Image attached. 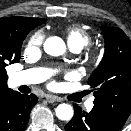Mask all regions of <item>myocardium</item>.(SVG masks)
Segmentation results:
<instances>
[{
  "label": "myocardium",
  "mask_w": 131,
  "mask_h": 131,
  "mask_svg": "<svg viewBox=\"0 0 131 131\" xmlns=\"http://www.w3.org/2000/svg\"><path fill=\"white\" fill-rule=\"evenodd\" d=\"M99 59H100V56L98 54H96V53L91 54V60L93 62H97V61H99Z\"/></svg>",
  "instance_id": "1"
}]
</instances>
